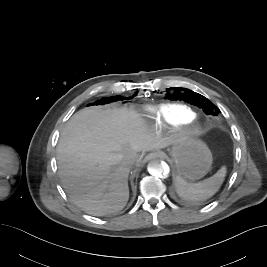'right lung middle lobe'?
Returning <instances> with one entry per match:
<instances>
[{
  "label": "right lung middle lobe",
  "mask_w": 267,
  "mask_h": 267,
  "mask_svg": "<svg viewBox=\"0 0 267 267\" xmlns=\"http://www.w3.org/2000/svg\"><path fill=\"white\" fill-rule=\"evenodd\" d=\"M119 99H122L119 96H115V97H109V98H102L101 100L95 102L94 104H105V103H110L112 101H117Z\"/></svg>",
  "instance_id": "1"
}]
</instances>
